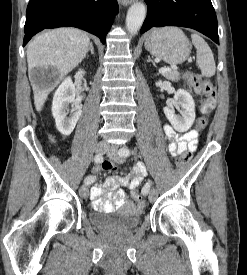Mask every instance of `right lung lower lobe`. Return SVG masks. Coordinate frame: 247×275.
I'll return each mask as SVG.
<instances>
[{"label":"right lung lower lobe","instance_id":"right-lung-lower-lobe-1","mask_svg":"<svg viewBox=\"0 0 247 275\" xmlns=\"http://www.w3.org/2000/svg\"><path fill=\"white\" fill-rule=\"evenodd\" d=\"M117 13V0H30L23 46L43 29L68 26L88 31L104 44Z\"/></svg>","mask_w":247,"mask_h":275}]
</instances>
